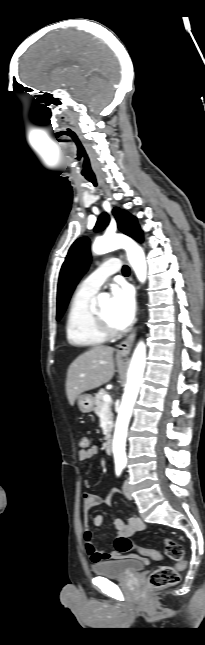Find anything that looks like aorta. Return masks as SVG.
<instances>
[{"label": "aorta", "instance_id": "aorta-1", "mask_svg": "<svg viewBox=\"0 0 205 645\" xmlns=\"http://www.w3.org/2000/svg\"><path fill=\"white\" fill-rule=\"evenodd\" d=\"M118 248L126 250L128 261L132 266L138 280L145 282L147 276V264L142 248L132 239L123 235L103 236L95 240L93 252L102 255ZM100 301L108 299L106 293L99 295ZM146 363V346L144 342L137 345L128 370V380L122 397L118 412L113 437V454L116 464H126V437L128 424L132 415V409L138 396L141 379Z\"/></svg>", "mask_w": 205, "mask_h": 645}]
</instances>
